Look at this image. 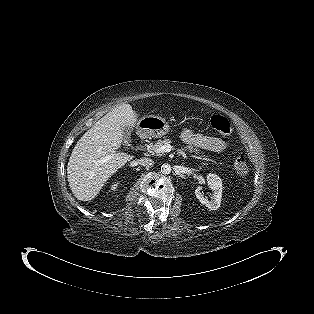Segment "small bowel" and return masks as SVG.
<instances>
[{
  "label": "small bowel",
  "mask_w": 314,
  "mask_h": 314,
  "mask_svg": "<svg viewBox=\"0 0 314 314\" xmlns=\"http://www.w3.org/2000/svg\"><path fill=\"white\" fill-rule=\"evenodd\" d=\"M181 139L193 151L219 153L229 147V143L212 136L195 133L191 129H183Z\"/></svg>",
  "instance_id": "1"
}]
</instances>
